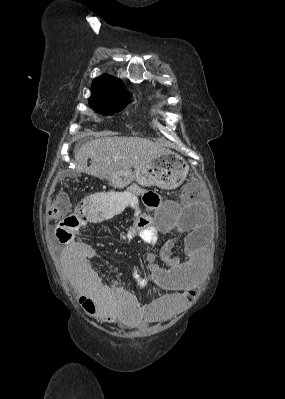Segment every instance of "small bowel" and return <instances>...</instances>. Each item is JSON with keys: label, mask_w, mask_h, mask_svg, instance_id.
I'll return each mask as SVG.
<instances>
[{"label": "small bowel", "mask_w": 285, "mask_h": 399, "mask_svg": "<svg viewBox=\"0 0 285 399\" xmlns=\"http://www.w3.org/2000/svg\"><path fill=\"white\" fill-rule=\"evenodd\" d=\"M145 193L146 191L131 186L120 193L86 197L74 210L79 221L62 224L59 229L78 232L83 227L99 226L130 209L133 212L131 219L133 225L140 219L144 220L140 232L141 239L145 243L153 244L161 234V229L148 214L141 213L139 197ZM147 209L158 211L161 205L154 208L147 206ZM191 209L194 211V207ZM180 228V224L173 223L168 230L179 231ZM201 236L200 232H190L182 239L174 237L164 245L160 257L168 264L166 268L158 264L156 254H147V267L152 272V282L166 293L146 304L141 303L135 294L120 284L107 285L102 281L91 266L96 250L86 241L64 244L61 249V260L78 291L79 304L90 315L104 322H125L141 326L166 319L188 304L196 290L197 279L205 266ZM178 243L184 244V254L172 256V251ZM132 275L135 279H139L137 272H133ZM142 283L147 288L146 282Z\"/></svg>", "instance_id": "1"}]
</instances>
